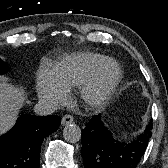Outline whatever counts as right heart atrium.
<instances>
[{
  "mask_svg": "<svg viewBox=\"0 0 168 168\" xmlns=\"http://www.w3.org/2000/svg\"><path fill=\"white\" fill-rule=\"evenodd\" d=\"M37 93L41 101L49 105H57L66 97V90L54 79L48 69H41L37 76Z\"/></svg>",
  "mask_w": 168,
  "mask_h": 168,
  "instance_id": "1",
  "label": "right heart atrium"
}]
</instances>
